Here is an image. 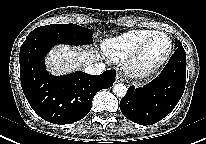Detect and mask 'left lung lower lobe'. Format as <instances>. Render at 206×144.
Returning <instances> with one entry per match:
<instances>
[{"mask_svg":"<svg viewBox=\"0 0 206 144\" xmlns=\"http://www.w3.org/2000/svg\"><path fill=\"white\" fill-rule=\"evenodd\" d=\"M177 47L162 72L140 88L130 86L120 102V110L129 120L140 125H152L166 117L180 100L186 82V52Z\"/></svg>","mask_w":206,"mask_h":144,"instance_id":"1","label":"left lung lower lobe"}]
</instances>
